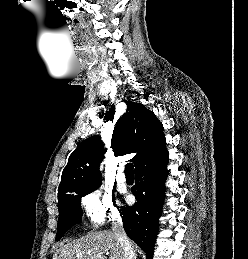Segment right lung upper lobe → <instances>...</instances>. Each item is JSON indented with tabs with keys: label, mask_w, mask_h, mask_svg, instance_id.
<instances>
[{
	"label": "right lung upper lobe",
	"mask_w": 248,
	"mask_h": 259,
	"mask_svg": "<svg viewBox=\"0 0 248 259\" xmlns=\"http://www.w3.org/2000/svg\"><path fill=\"white\" fill-rule=\"evenodd\" d=\"M165 144L163 126L155 114L140 103L128 102L126 113L116 123L112 134L114 155L137 153L131 159L137 167L165 153ZM106 150L99 136H91L78 145L63 170L58 197L101 183L99 166Z\"/></svg>",
	"instance_id": "1"
}]
</instances>
